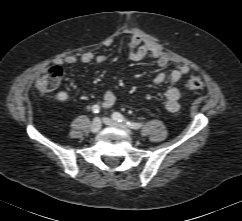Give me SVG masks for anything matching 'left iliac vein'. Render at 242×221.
Listing matches in <instances>:
<instances>
[{"label": "left iliac vein", "instance_id": "left-iliac-vein-1", "mask_svg": "<svg viewBox=\"0 0 242 221\" xmlns=\"http://www.w3.org/2000/svg\"><path fill=\"white\" fill-rule=\"evenodd\" d=\"M102 121L110 127H117L119 129L125 131L128 135H131V136L133 135V132L130 129H128L125 124L118 123V122H116V121H114L110 118H107V117H103Z\"/></svg>", "mask_w": 242, "mask_h": 221}]
</instances>
